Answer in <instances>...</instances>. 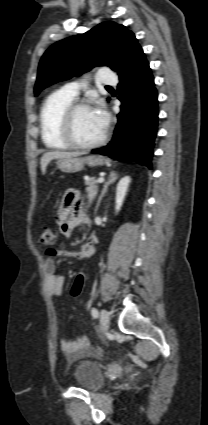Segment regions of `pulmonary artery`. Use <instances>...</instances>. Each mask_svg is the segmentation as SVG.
I'll return each mask as SVG.
<instances>
[{
    "label": "pulmonary artery",
    "instance_id": "1",
    "mask_svg": "<svg viewBox=\"0 0 208 425\" xmlns=\"http://www.w3.org/2000/svg\"><path fill=\"white\" fill-rule=\"evenodd\" d=\"M98 77L100 82L105 85H115L118 83L116 74L107 68L100 69ZM83 85L84 84L78 82H70L66 84L61 91H63V93H65L69 97L75 99L78 96L79 90Z\"/></svg>",
    "mask_w": 208,
    "mask_h": 425
}]
</instances>
